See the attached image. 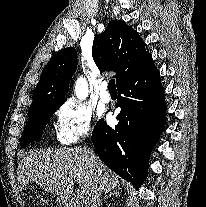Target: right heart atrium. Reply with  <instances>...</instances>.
I'll list each match as a JSON object with an SVG mask.
<instances>
[{"label":"right heart atrium","mask_w":206,"mask_h":207,"mask_svg":"<svg viewBox=\"0 0 206 207\" xmlns=\"http://www.w3.org/2000/svg\"><path fill=\"white\" fill-rule=\"evenodd\" d=\"M94 116L84 105L67 100L56 111V139L71 145L89 137L93 132Z\"/></svg>","instance_id":"obj_1"}]
</instances>
